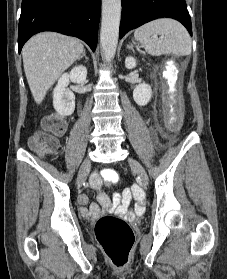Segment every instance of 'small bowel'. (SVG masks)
<instances>
[{
    "label": "small bowel",
    "mask_w": 227,
    "mask_h": 279,
    "mask_svg": "<svg viewBox=\"0 0 227 279\" xmlns=\"http://www.w3.org/2000/svg\"><path fill=\"white\" fill-rule=\"evenodd\" d=\"M113 169H103L100 173H93L90 177L89 183L90 186L97 190L99 192L98 194V200L99 204L104 207L106 210H116L120 214H127L128 207L130 203V198L128 197V193L125 194V198L121 200V194L120 193H114L112 197H109L105 192L102 190V181L103 179V173L110 171ZM133 193H140V187L137 185H133L131 188ZM87 196L86 195H80L78 198L79 203L85 204L87 202ZM146 206V203L143 201L137 202V211H142ZM80 211L82 215L84 216H90L95 215L99 212V207L96 204H92L88 207L82 206L80 207ZM131 214V213H129Z\"/></svg>",
    "instance_id": "obj_1"
}]
</instances>
